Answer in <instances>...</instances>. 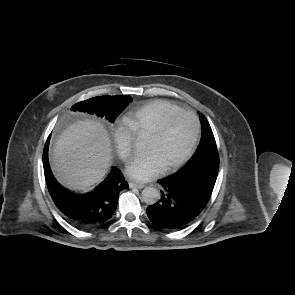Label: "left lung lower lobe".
<instances>
[{
  "label": "left lung lower lobe",
  "mask_w": 295,
  "mask_h": 295,
  "mask_svg": "<svg viewBox=\"0 0 295 295\" xmlns=\"http://www.w3.org/2000/svg\"><path fill=\"white\" fill-rule=\"evenodd\" d=\"M218 169L219 163L204 160L159 180L163 186L161 199L147 207L151 222L159 228L174 230L194 220L210 199Z\"/></svg>",
  "instance_id": "1"
}]
</instances>
